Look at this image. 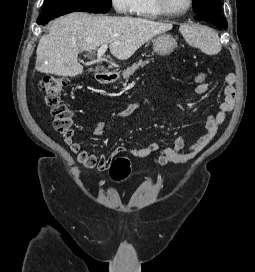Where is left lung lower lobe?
Masks as SVG:
<instances>
[{"mask_svg":"<svg viewBox=\"0 0 255 272\" xmlns=\"http://www.w3.org/2000/svg\"><path fill=\"white\" fill-rule=\"evenodd\" d=\"M194 18L197 20H203L213 23L223 29H227V21L220 12H216L213 10L203 11L196 15Z\"/></svg>","mask_w":255,"mask_h":272,"instance_id":"left-lung-lower-lobe-1","label":"left lung lower lobe"}]
</instances>
